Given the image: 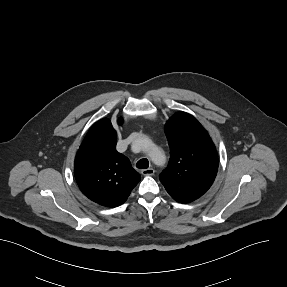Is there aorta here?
Returning a JSON list of instances; mask_svg holds the SVG:
<instances>
[{
	"label": "aorta",
	"mask_w": 287,
	"mask_h": 287,
	"mask_svg": "<svg viewBox=\"0 0 287 287\" xmlns=\"http://www.w3.org/2000/svg\"><path fill=\"white\" fill-rule=\"evenodd\" d=\"M138 143L141 146L146 147L148 149L149 157L154 163L158 164V163L165 162L166 157H165L164 152L160 148H158L156 145H154L148 138L141 137L138 140Z\"/></svg>",
	"instance_id": "1"
}]
</instances>
